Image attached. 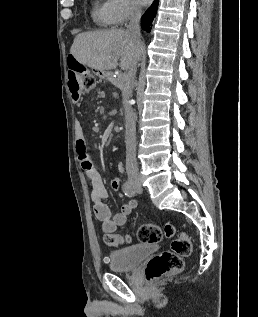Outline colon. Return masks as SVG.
<instances>
[{"mask_svg": "<svg viewBox=\"0 0 258 317\" xmlns=\"http://www.w3.org/2000/svg\"><path fill=\"white\" fill-rule=\"evenodd\" d=\"M69 68L76 69L82 79L86 91L94 88L96 81L94 75L82 66L72 54L68 55ZM163 237L172 238L170 250L161 252L149 259L145 266V276L150 282L155 281L169 273L178 272L183 269V258L190 255L192 244L190 238L184 234H177L172 224H167L162 229L155 224H145L138 231V238L144 243H157ZM129 236L110 233L104 236L105 243L110 247H120L129 242Z\"/></svg>", "mask_w": 258, "mask_h": 317, "instance_id": "colon-1", "label": "colon"}]
</instances>
